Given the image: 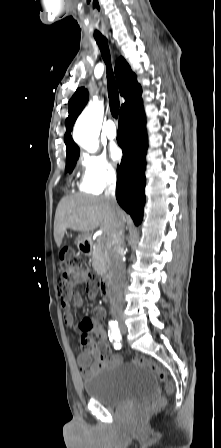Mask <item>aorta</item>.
<instances>
[{"label":"aorta","instance_id":"1","mask_svg":"<svg viewBox=\"0 0 221 448\" xmlns=\"http://www.w3.org/2000/svg\"><path fill=\"white\" fill-rule=\"evenodd\" d=\"M103 120V105L100 102L90 103L78 117L73 138L76 143L90 153L99 147V133Z\"/></svg>","mask_w":221,"mask_h":448}]
</instances>
